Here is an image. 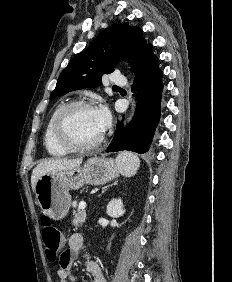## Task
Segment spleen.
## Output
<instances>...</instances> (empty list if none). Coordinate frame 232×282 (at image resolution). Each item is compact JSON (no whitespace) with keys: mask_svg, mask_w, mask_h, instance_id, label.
I'll return each instance as SVG.
<instances>
[{"mask_svg":"<svg viewBox=\"0 0 232 282\" xmlns=\"http://www.w3.org/2000/svg\"><path fill=\"white\" fill-rule=\"evenodd\" d=\"M116 164L122 175L131 177L137 172L140 166V160L133 153L122 152L117 156Z\"/></svg>","mask_w":232,"mask_h":282,"instance_id":"3e777b00","label":"spleen"}]
</instances>
